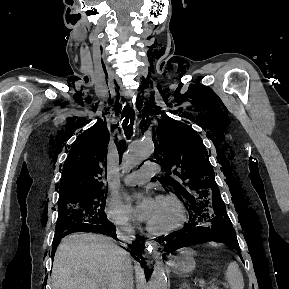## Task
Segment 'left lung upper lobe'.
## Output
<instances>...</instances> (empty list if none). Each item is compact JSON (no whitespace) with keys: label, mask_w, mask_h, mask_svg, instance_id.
<instances>
[{"label":"left lung upper lobe","mask_w":289,"mask_h":289,"mask_svg":"<svg viewBox=\"0 0 289 289\" xmlns=\"http://www.w3.org/2000/svg\"><path fill=\"white\" fill-rule=\"evenodd\" d=\"M161 114L164 118L156 129L154 157L167 171L162 183L186 205L190 216L201 211L209 218L217 217L218 235L226 242L225 224L215 214V206L224 202L201 137L190 126Z\"/></svg>","instance_id":"5c2ea615"}]
</instances>
